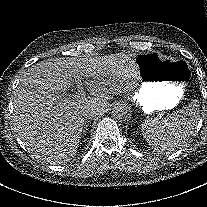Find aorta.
Instances as JSON below:
<instances>
[{
	"label": "aorta",
	"instance_id": "aorta-1",
	"mask_svg": "<svg viewBox=\"0 0 207 207\" xmlns=\"http://www.w3.org/2000/svg\"><path fill=\"white\" fill-rule=\"evenodd\" d=\"M130 111L128 106L124 103H120L114 106L112 110V116L116 121L123 122L128 120Z\"/></svg>",
	"mask_w": 207,
	"mask_h": 207
}]
</instances>
